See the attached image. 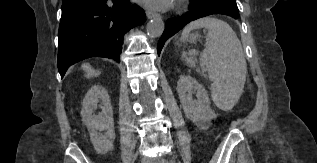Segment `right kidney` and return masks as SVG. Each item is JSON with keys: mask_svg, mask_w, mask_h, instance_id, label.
<instances>
[{"mask_svg": "<svg viewBox=\"0 0 317 163\" xmlns=\"http://www.w3.org/2000/svg\"><path fill=\"white\" fill-rule=\"evenodd\" d=\"M101 102V112L94 114L97 103ZM81 116L87 126L94 149L99 154H106L113 148L115 139L113 110L106 89L94 85L85 95ZM105 131L104 133H102Z\"/></svg>", "mask_w": 317, "mask_h": 163, "instance_id": "right-kidney-1", "label": "right kidney"}]
</instances>
